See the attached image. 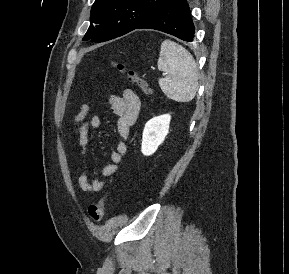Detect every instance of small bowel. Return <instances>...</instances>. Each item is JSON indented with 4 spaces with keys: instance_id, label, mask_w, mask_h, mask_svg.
I'll return each instance as SVG.
<instances>
[{
    "instance_id": "small-bowel-1",
    "label": "small bowel",
    "mask_w": 289,
    "mask_h": 274,
    "mask_svg": "<svg viewBox=\"0 0 289 274\" xmlns=\"http://www.w3.org/2000/svg\"><path fill=\"white\" fill-rule=\"evenodd\" d=\"M107 99L118 117L117 132L119 141L116 150L110 156L112 163L103 166L101 169V174L104 177H110L119 172L123 156L127 152L126 140L141 109L139 97L130 89H125L121 96L110 94ZM88 114L89 104L83 102L73 120L78 133V143L82 157V172L78 178V184L84 192L97 193L104 188L106 182L89 175L87 157L90 131L97 129L101 124V120L97 115L89 116Z\"/></svg>"
}]
</instances>
